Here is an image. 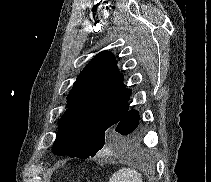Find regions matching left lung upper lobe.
Masks as SVG:
<instances>
[{"instance_id": "left-lung-upper-lobe-1", "label": "left lung upper lobe", "mask_w": 211, "mask_h": 182, "mask_svg": "<svg viewBox=\"0 0 211 182\" xmlns=\"http://www.w3.org/2000/svg\"><path fill=\"white\" fill-rule=\"evenodd\" d=\"M123 80L109 51L99 53L86 65L67 97L54 154L86 159L108 144L115 126L129 110L132 91Z\"/></svg>"}]
</instances>
